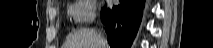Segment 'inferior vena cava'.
Masks as SVG:
<instances>
[{"instance_id": "inferior-vena-cava-1", "label": "inferior vena cava", "mask_w": 213, "mask_h": 48, "mask_svg": "<svg viewBox=\"0 0 213 48\" xmlns=\"http://www.w3.org/2000/svg\"><path fill=\"white\" fill-rule=\"evenodd\" d=\"M99 38H100V43H101V44H104V43H105L104 38H103L101 35L99 36Z\"/></svg>"}]
</instances>
